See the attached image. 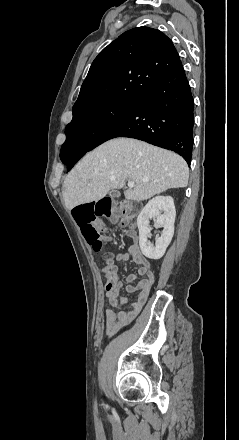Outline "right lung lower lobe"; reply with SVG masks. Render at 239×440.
<instances>
[{"label":"right lung lower lobe","instance_id":"1","mask_svg":"<svg viewBox=\"0 0 239 440\" xmlns=\"http://www.w3.org/2000/svg\"><path fill=\"white\" fill-rule=\"evenodd\" d=\"M194 101L181 61L162 79L139 96L117 122L102 132L82 151L74 148L60 152L67 170L86 152L116 137H129L172 150L188 165L193 148Z\"/></svg>","mask_w":239,"mask_h":440}]
</instances>
